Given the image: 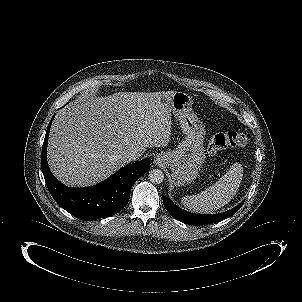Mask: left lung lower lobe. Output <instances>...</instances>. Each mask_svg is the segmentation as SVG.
<instances>
[{"mask_svg": "<svg viewBox=\"0 0 302 302\" xmlns=\"http://www.w3.org/2000/svg\"><path fill=\"white\" fill-rule=\"evenodd\" d=\"M243 203L244 201L240 203L238 206H236L235 208L220 214L200 215V214H192L180 209L174 203H172L168 197H165L163 199V205L165 206L166 210L170 213V215H172V217H174L176 220L189 225L211 224L214 222H218L222 219L228 218L233 214H235L241 208Z\"/></svg>", "mask_w": 302, "mask_h": 302, "instance_id": "obj_1", "label": "left lung lower lobe"}]
</instances>
